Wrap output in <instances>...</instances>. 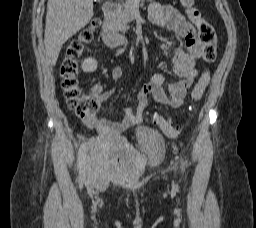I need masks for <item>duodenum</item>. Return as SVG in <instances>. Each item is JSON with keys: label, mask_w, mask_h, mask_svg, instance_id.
I'll list each match as a JSON object with an SVG mask.
<instances>
[{"label": "duodenum", "mask_w": 256, "mask_h": 228, "mask_svg": "<svg viewBox=\"0 0 256 228\" xmlns=\"http://www.w3.org/2000/svg\"><path fill=\"white\" fill-rule=\"evenodd\" d=\"M118 11L117 5L113 2H106L103 5L104 24L101 31L103 42L109 47H117L124 43L125 39L117 34L111 27V19Z\"/></svg>", "instance_id": "duodenum-1"}]
</instances>
